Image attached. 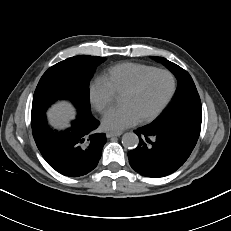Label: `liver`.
Returning a JSON list of instances; mask_svg holds the SVG:
<instances>
[{
  "mask_svg": "<svg viewBox=\"0 0 231 231\" xmlns=\"http://www.w3.org/2000/svg\"><path fill=\"white\" fill-rule=\"evenodd\" d=\"M75 109L66 102L58 103L48 111L51 125L56 128H64L68 125V120L74 118Z\"/></svg>",
  "mask_w": 231,
  "mask_h": 231,
  "instance_id": "1",
  "label": "liver"
}]
</instances>
